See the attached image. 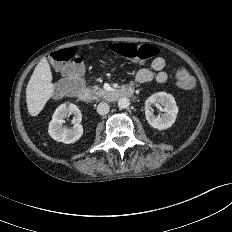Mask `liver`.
I'll return each mask as SVG.
<instances>
[{"label": "liver", "instance_id": "obj_1", "mask_svg": "<svg viewBox=\"0 0 232 232\" xmlns=\"http://www.w3.org/2000/svg\"><path fill=\"white\" fill-rule=\"evenodd\" d=\"M52 73L44 57L36 65L26 88L27 109L31 116H37L54 92Z\"/></svg>", "mask_w": 232, "mask_h": 232}]
</instances>
